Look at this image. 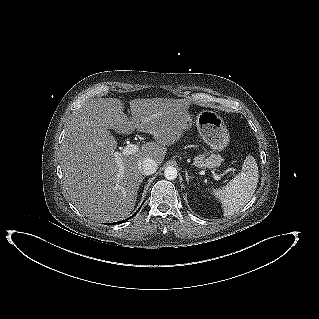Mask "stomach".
Here are the masks:
<instances>
[{
  "instance_id": "stomach-1",
  "label": "stomach",
  "mask_w": 319,
  "mask_h": 319,
  "mask_svg": "<svg viewBox=\"0 0 319 319\" xmlns=\"http://www.w3.org/2000/svg\"><path fill=\"white\" fill-rule=\"evenodd\" d=\"M190 109L186 116V129L195 123L203 141L213 150H223L230 141V135L223 119L214 111L202 110L193 119Z\"/></svg>"
}]
</instances>
